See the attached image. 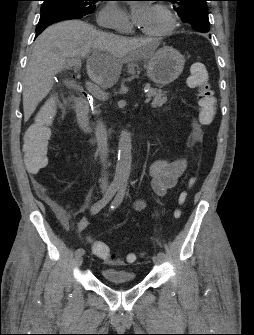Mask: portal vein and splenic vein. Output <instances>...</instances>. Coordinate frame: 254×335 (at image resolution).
<instances>
[{"label": "portal vein and splenic vein", "instance_id": "1", "mask_svg": "<svg viewBox=\"0 0 254 335\" xmlns=\"http://www.w3.org/2000/svg\"><path fill=\"white\" fill-rule=\"evenodd\" d=\"M71 66L76 67L77 69L81 68V57L77 56L71 60L68 61ZM86 87L89 93H91L94 97H96L99 100H107L108 94L101 90L97 85H94L91 82H86ZM151 101L150 97H147L144 101L145 104L149 103Z\"/></svg>", "mask_w": 254, "mask_h": 335}]
</instances>
